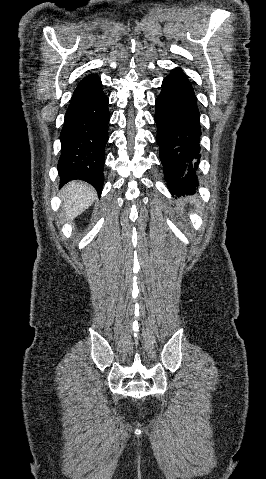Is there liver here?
I'll return each mask as SVG.
<instances>
[{
  "mask_svg": "<svg viewBox=\"0 0 266 479\" xmlns=\"http://www.w3.org/2000/svg\"><path fill=\"white\" fill-rule=\"evenodd\" d=\"M63 222L72 221L88 209L96 199L95 190L82 181H72L61 191Z\"/></svg>",
  "mask_w": 266,
  "mask_h": 479,
  "instance_id": "liver-1",
  "label": "liver"
}]
</instances>
